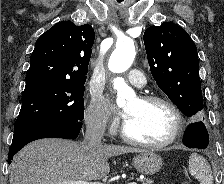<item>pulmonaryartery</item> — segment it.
Listing matches in <instances>:
<instances>
[{
    "label": "pulmonary artery",
    "instance_id": "e3ab8cb5",
    "mask_svg": "<svg viewBox=\"0 0 224 184\" xmlns=\"http://www.w3.org/2000/svg\"><path fill=\"white\" fill-rule=\"evenodd\" d=\"M128 80L129 82L137 87L142 88L146 85V79L144 74L139 70H131L128 73Z\"/></svg>",
    "mask_w": 224,
    "mask_h": 184
}]
</instances>
